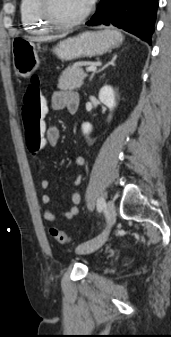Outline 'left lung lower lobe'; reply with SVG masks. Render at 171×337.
I'll use <instances>...</instances> for the list:
<instances>
[{"label": "left lung lower lobe", "mask_w": 171, "mask_h": 337, "mask_svg": "<svg viewBox=\"0 0 171 337\" xmlns=\"http://www.w3.org/2000/svg\"><path fill=\"white\" fill-rule=\"evenodd\" d=\"M158 0H101L89 26L114 25L151 45Z\"/></svg>", "instance_id": "left-lung-lower-lobe-1"}]
</instances>
